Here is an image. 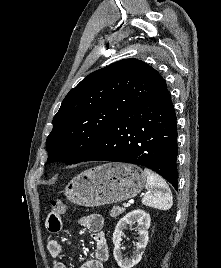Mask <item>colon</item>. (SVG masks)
<instances>
[{"mask_svg": "<svg viewBox=\"0 0 221 268\" xmlns=\"http://www.w3.org/2000/svg\"><path fill=\"white\" fill-rule=\"evenodd\" d=\"M66 205L62 200H53L51 202V214L55 216H61L65 212Z\"/></svg>", "mask_w": 221, "mask_h": 268, "instance_id": "obj_1", "label": "colon"}]
</instances>
